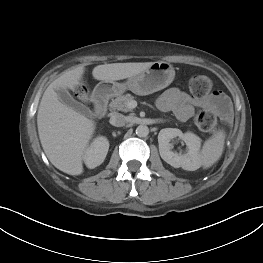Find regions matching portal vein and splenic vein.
<instances>
[{
  "label": "portal vein and splenic vein",
  "instance_id": "portal-vein-and-splenic-vein-1",
  "mask_svg": "<svg viewBox=\"0 0 263 263\" xmlns=\"http://www.w3.org/2000/svg\"><path fill=\"white\" fill-rule=\"evenodd\" d=\"M137 106V102L135 100H132L128 103V107L133 109Z\"/></svg>",
  "mask_w": 263,
  "mask_h": 263
}]
</instances>
